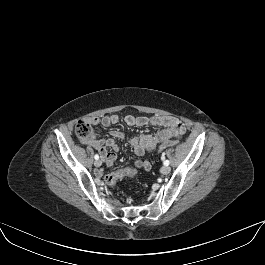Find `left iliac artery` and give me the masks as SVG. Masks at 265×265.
<instances>
[{"label": "left iliac artery", "instance_id": "obj_1", "mask_svg": "<svg viewBox=\"0 0 265 265\" xmlns=\"http://www.w3.org/2000/svg\"><path fill=\"white\" fill-rule=\"evenodd\" d=\"M163 163L165 166H168L170 162L168 160H165Z\"/></svg>", "mask_w": 265, "mask_h": 265}]
</instances>
